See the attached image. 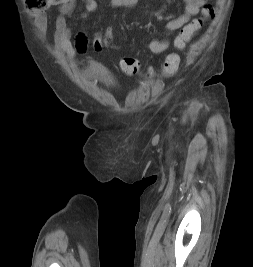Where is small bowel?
<instances>
[{"mask_svg":"<svg viewBox=\"0 0 253 267\" xmlns=\"http://www.w3.org/2000/svg\"><path fill=\"white\" fill-rule=\"evenodd\" d=\"M85 9L82 18H87L89 14L96 11L98 3L96 0H81ZM77 0H66L59 9V15L55 20L54 50L58 55H66L69 58L75 57L77 53H84L88 48V39L84 32L76 34L72 40V33L69 20L74 12ZM112 7L122 9H132L137 6L139 0H107ZM207 0H183L184 13L176 18L168 20L164 24L166 32L176 31L187 25L191 19L198 15L200 10L206 5ZM47 26V16L44 12L36 14V27L42 33ZM106 33H113L112 28H107ZM169 40H151L148 44L150 51L154 54H161L168 50ZM113 50H121V47L114 44Z\"/></svg>","mask_w":253,"mask_h":267,"instance_id":"small-bowel-1","label":"small bowel"}]
</instances>
